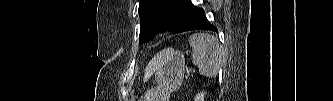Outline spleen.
<instances>
[{"instance_id": "spleen-1", "label": "spleen", "mask_w": 333, "mask_h": 101, "mask_svg": "<svg viewBox=\"0 0 333 101\" xmlns=\"http://www.w3.org/2000/svg\"><path fill=\"white\" fill-rule=\"evenodd\" d=\"M192 47V61L199 67V73L206 77H215L223 63L225 51L216 37L199 33L189 37Z\"/></svg>"}]
</instances>
